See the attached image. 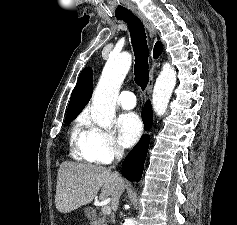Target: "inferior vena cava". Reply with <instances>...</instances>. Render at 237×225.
I'll use <instances>...</instances> for the list:
<instances>
[{
    "instance_id": "1",
    "label": "inferior vena cava",
    "mask_w": 237,
    "mask_h": 225,
    "mask_svg": "<svg viewBox=\"0 0 237 225\" xmlns=\"http://www.w3.org/2000/svg\"><path fill=\"white\" fill-rule=\"evenodd\" d=\"M123 157V149L120 146H115V159L117 164ZM114 167V165H113ZM115 176L117 177L118 180H122L118 172H114Z\"/></svg>"
}]
</instances>
